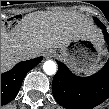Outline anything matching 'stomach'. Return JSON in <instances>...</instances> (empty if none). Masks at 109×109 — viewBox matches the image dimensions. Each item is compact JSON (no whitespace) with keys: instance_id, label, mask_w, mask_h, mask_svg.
Returning a JSON list of instances; mask_svg holds the SVG:
<instances>
[{"instance_id":"obj_1","label":"stomach","mask_w":109,"mask_h":109,"mask_svg":"<svg viewBox=\"0 0 109 109\" xmlns=\"http://www.w3.org/2000/svg\"><path fill=\"white\" fill-rule=\"evenodd\" d=\"M105 54L104 42L84 37L75 38L64 48L56 50L57 57L76 73L96 70L102 64Z\"/></svg>"}]
</instances>
